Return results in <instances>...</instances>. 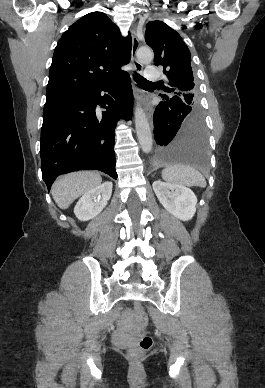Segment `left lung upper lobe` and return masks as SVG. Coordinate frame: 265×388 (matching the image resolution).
I'll return each mask as SVG.
<instances>
[{
	"label": "left lung upper lobe",
	"mask_w": 265,
	"mask_h": 388,
	"mask_svg": "<svg viewBox=\"0 0 265 388\" xmlns=\"http://www.w3.org/2000/svg\"><path fill=\"white\" fill-rule=\"evenodd\" d=\"M145 41L154 51V64L164 68L169 87L163 85L162 88L170 97L200 109L199 93L193 81L191 54L181 36L157 20L147 24Z\"/></svg>",
	"instance_id": "obj_1"
}]
</instances>
